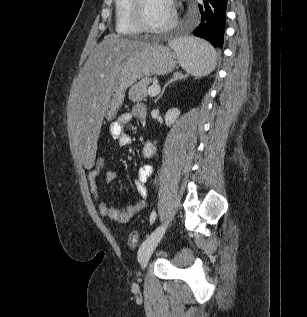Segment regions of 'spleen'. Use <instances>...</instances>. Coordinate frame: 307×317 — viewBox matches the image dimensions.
<instances>
[{
    "label": "spleen",
    "instance_id": "3e777b00",
    "mask_svg": "<svg viewBox=\"0 0 307 317\" xmlns=\"http://www.w3.org/2000/svg\"><path fill=\"white\" fill-rule=\"evenodd\" d=\"M175 50L178 63L190 75L202 77L215 68L216 51L206 41L184 37L169 43Z\"/></svg>",
    "mask_w": 307,
    "mask_h": 317
}]
</instances>
